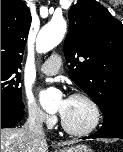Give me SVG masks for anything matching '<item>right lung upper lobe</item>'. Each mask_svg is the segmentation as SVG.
I'll list each match as a JSON object with an SVG mask.
<instances>
[{
  "instance_id": "cb5924a9",
  "label": "right lung upper lobe",
  "mask_w": 123,
  "mask_h": 152,
  "mask_svg": "<svg viewBox=\"0 0 123 152\" xmlns=\"http://www.w3.org/2000/svg\"><path fill=\"white\" fill-rule=\"evenodd\" d=\"M30 25V10L22 0L1 1V68H21Z\"/></svg>"
}]
</instances>
